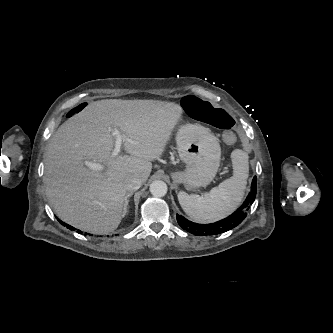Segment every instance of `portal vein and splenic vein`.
I'll return each instance as SVG.
<instances>
[{"label": "portal vein and splenic vein", "instance_id": "obj_1", "mask_svg": "<svg viewBox=\"0 0 333 333\" xmlns=\"http://www.w3.org/2000/svg\"><path fill=\"white\" fill-rule=\"evenodd\" d=\"M113 135L115 136V146H114V150L112 152V157H116L119 155V153L121 151V146H122V142L124 140V136L117 129L113 130ZM125 139L127 141H130L128 138H125ZM85 164L89 169L94 170V171L104 170V166L97 162H86Z\"/></svg>", "mask_w": 333, "mask_h": 333}]
</instances>
